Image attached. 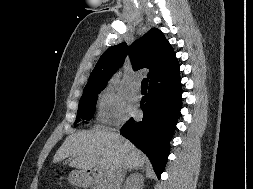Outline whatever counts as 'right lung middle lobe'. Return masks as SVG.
Listing matches in <instances>:
<instances>
[{
	"label": "right lung middle lobe",
	"mask_w": 253,
	"mask_h": 189,
	"mask_svg": "<svg viewBox=\"0 0 253 189\" xmlns=\"http://www.w3.org/2000/svg\"><path fill=\"white\" fill-rule=\"evenodd\" d=\"M104 88L83 91V95L79 102L76 122L81 120H90L95 113V106L98 99V94Z\"/></svg>",
	"instance_id": "right-lung-middle-lobe-1"
}]
</instances>
